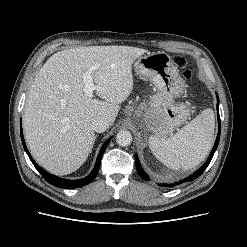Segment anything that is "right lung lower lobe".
<instances>
[{
  "mask_svg": "<svg viewBox=\"0 0 247 247\" xmlns=\"http://www.w3.org/2000/svg\"><path fill=\"white\" fill-rule=\"evenodd\" d=\"M20 134H21V139H22V143H23V147L27 153V155L29 156L31 162L33 163V165L35 166V168L39 171V173L44 177V179L46 181H48L50 184L54 185V186H57V187H60V188H77V187H81V186H84L88 183H90L91 181H93L95 179V177L97 176V173L99 171V167H100V163H101V159H102V155L107 147V145L109 144L110 142V139L103 145V147L101 148L100 152H99V155L97 157V161H96V164H95V167L92 171V173L83 178V179H79V180H67V179H62V178H59V177H56L52 174H49L47 171L43 170L41 167H39L36 162L33 160V158L31 157L27 147H26V144H25V141H24V137H23V132H22V127L20 128Z\"/></svg>",
  "mask_w": 247,
  "mask_h": 247,
  "instance_id": "right-lung-lower-lobe-1",
  "label": "right lung lower lobe"
}]
</instances>
